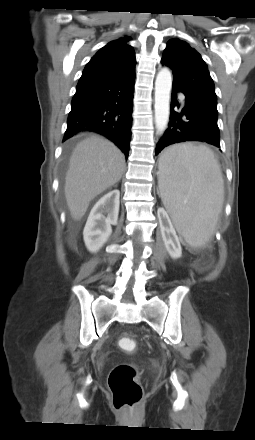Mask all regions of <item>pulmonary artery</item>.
<instances>
[{"label": "pulmonary artery", "instance_id": "e3ab8cb5", "mask_svg": "<svg viewBox=\"0 0 255 440\" xmlns=\"http://www.w3.org/2000/svg\"><path fill=\"white\" fill-rule=\"evenodd\" d=\"M181 101H182V103H184V97L183 96H181Z\"/></svg>", "mask_w": 255, "mask_h": 440}]
</instances>
